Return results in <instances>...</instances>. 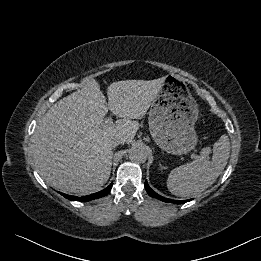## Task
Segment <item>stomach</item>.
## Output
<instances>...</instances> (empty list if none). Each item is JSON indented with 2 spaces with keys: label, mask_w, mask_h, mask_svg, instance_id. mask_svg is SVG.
I'll list each match as a JSON object with an SVG mask.
<instances>
[{
  "label": "stomach",
  "mask_w": 261,
  "mask_h": 261,
  "mask_svg": "<svg viewBox=\"0 0 261 261\" xmlns=\"http://www.w3.org/2000/svg\"><path fill=\"white\" fill-rule=\"evenodd\" d=\"M163 79L148 112L149 131L162 150L174 155L187 154L197 144L194 125L198 104L183 78L170 74Z\"/></svg>",
  "instance_id": "1"
}]
</instances>
